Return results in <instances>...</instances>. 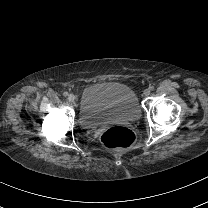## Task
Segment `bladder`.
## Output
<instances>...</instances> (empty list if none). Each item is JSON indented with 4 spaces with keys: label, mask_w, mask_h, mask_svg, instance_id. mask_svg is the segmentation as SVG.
<instances>
[{
    "label": "bladder",
    "mask_w": 208,
    "mask_h": 208,
    "mask_svg": "<svg viewBox=\"0 0 208 208\" xmlns=\"http://www.w3.org/2000/svg\"><path fill=\"white\" fill-rule=\"evenodd\" d=\"M140 112L135 93L126 85L105 82L89 85L83 90L82 122L135 121Z\"/></svg>",
    "instance_id": "1"
}]
</instances>
